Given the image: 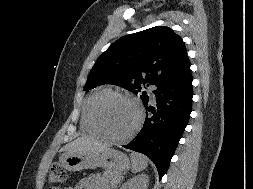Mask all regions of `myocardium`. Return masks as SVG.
<instances>
[{
  "instance_id": "obj_1",
  "label": "myocardium",
  "mask_w": 253,
  "mask_h": 189,
  "mask_svg": "<svg viewBox=\"0 0 253 189\" xmlns=\"http://www.w3.org/2000/svg\"><path fill=\"white\" fill-rule=\"evenodd\" d=\"M111 98H117V99H121L125 102H128L129 104H131L135 108V110L137 112V121H136L135 126L128 134H126L124 136L112 135L107 130V128L105 127V125L101 119L100 107L106 100L111 99ZM92 118H93L95 125L97 126V128L99 129V131L101 132V134L105 138H107L111 141H115V142H126V141L132 139L141 129L143 121H144V113H143V110H142L141 106L139 105V103L135 99H133L132 97L125 95L123 93H120V92L109 91L107 93L100 95L93 103Z\"/></svg>"
}]
</instances>
